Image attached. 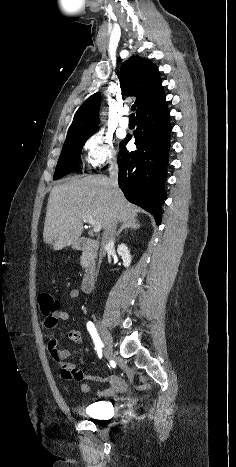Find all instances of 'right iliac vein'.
Wrapping results in <instances>:
<instances>
[{"label":"right iliac vein","mask_w":236,"mask_h":467,"mask_svg":"<svg viewBox=\"0 0 236 467\" xmlns=\"http://www.w3.org/2000/svg\"><path fill=\"white\" fill-rule=\"evenodd\" d=\"M98 330L103 341L105 356L109 359L113 354L112 337L101 321H98Z\"/></svg>","instance_id":"63e3f726"}]
</instances>
